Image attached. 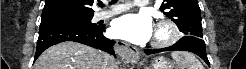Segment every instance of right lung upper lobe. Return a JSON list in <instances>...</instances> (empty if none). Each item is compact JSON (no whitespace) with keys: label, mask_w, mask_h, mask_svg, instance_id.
<instances>
[{"label":"right lung upper lobe","mask_w":246,"mask_h":69,"mask_svg":"<svg viewBox=\"0 0 246 69\" xmlns=\"http://www.w3.org/2000/svg\"><path fill=\"white\" fill-rule=\"evenodd\" d=\"M94 0H46L42 17L59 14H93Z\"/></svg>","instance_id":"1"}]
</instances>
